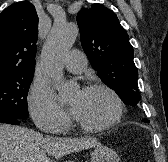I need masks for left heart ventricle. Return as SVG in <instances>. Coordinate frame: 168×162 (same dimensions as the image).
I'll use <instances>...</instances> for the list:
<instances>
[{"label": "left heart ventricle", "instance_id": "left-heart-ventricle-1", "mask_svg": "<svg viewBox=\"0 0 168 162\" xmlns=\"http://www.w3.org/2000/svg\"><path fill=\"white\" fill-rule=\"evenodd\" d=\"M74 115L82 122L100 125L114 114L115 106L111 97L104 91L77 92L71 98Z\"/></svg>", "mask_w": 168, "mask_h": 162}]
</instances>
